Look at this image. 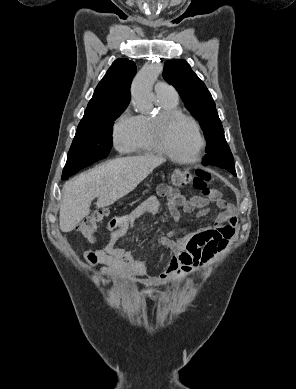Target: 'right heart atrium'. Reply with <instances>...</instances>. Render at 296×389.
Listing matches in <instances>:
<instances>
[{
  "instance_id": "obj_1",
  "label": "right heart atrium",
  "mask_w": 296,
  "mask_h": 389,
  "mask_svg": "<svg viewBox=\"0 0 296 389\" xmlns=\"http://www.w3.org/2000/svg\"><path fill=\"white\" fill-rule=\"evenodd\" d=\"M135 116L125 110L114 122L112 127V141L115 148L121 152L128 151L134 133Z\"/></svg>"
}]
</instances>
